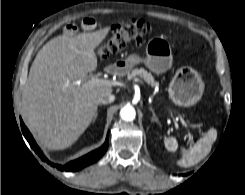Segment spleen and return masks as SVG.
I'll return each instance as SVG.
<instances>
[{"instance_id": "3e777b00", "label": "spleen", "mask_w": 245, "mask_h": 195, "mask_svg": "<svg viewBox=\"0 0 245 195\" xmlns=\"http://www.w3.org/2000/svg\"><path fill=\"white\" fill-rule=\"evenodd\" d=\"M217 132L215 129L209 130L207 135L201 138L185 155L180 162L182 167H190L198 163L211 150L212 143L216 139ZM165 146L170 151H175L178 147L177 140L174 137L166 138Z\"/></svg>"}]
</instances>
